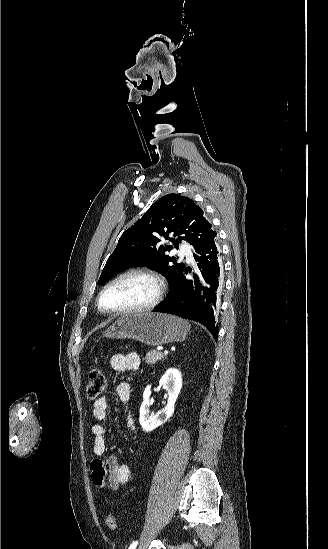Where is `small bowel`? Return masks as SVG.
<instances>
[{"mask_svg":"<svg viewBox=\"0 0 328 549\" xmlns=\"http://www.w3.org/2000/svg\"><path fill=\"white\" fill-rule=\"evenodd\" d=\"M109 363L113 371L120 373L137 370L141 361L137 353L129 352L113 355ZM116 393L121 402L128 403L131 395L129 383L121 382L116 388ZM92 413L97 421L91 427V433L94 436L93 453L95 455L91 462L92 479L99 488L115 491L130 481L131 470L128 465L120 463L114 454L106 455L104 422L108 418V399L105 396L95 400ZM127 426L132 430L135 429L134 420L130 413L127 416Z\"/></svg>","mask_w":328,"mask_h":549,"instance_id":"obj_1","label":"small bowel"}]
</instances>
